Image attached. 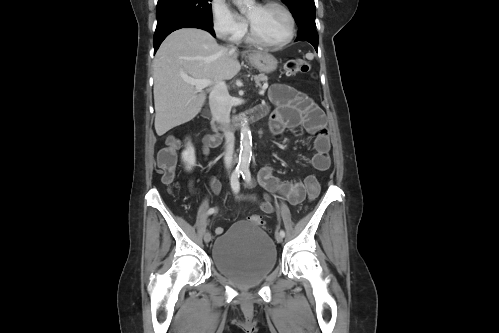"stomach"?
<instances>
[{
  "instance_id": "stomach-1",
  "label": "stomach",
  "mask_w": 499,
  "mask_h": 333,
  "mask_svg": "<svg viewBox=\"0 0 499 333\" xmlns=\"http://www.w3.org/2000/svg\"><path fill=\"white\" fill-rule=\"evenodd\" d=\"M247 58L253 67L264 73L275 71L278 65L277 59L265 51L252 53Z\"/></svg>"
}]
</instances>
